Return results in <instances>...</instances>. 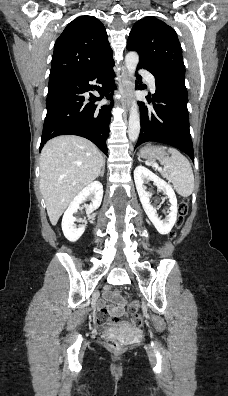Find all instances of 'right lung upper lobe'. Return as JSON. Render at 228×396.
Instances as JSON below:
<instances>
[{
    "label": "right lung upper lobe",
    "mask_w": 228,
    "mask_h": 396,
    "mask_svg": "<svg viewBox=\"0 0 228 396\" xmlns=\"http://www.w3.org/2000/svg\"><path fill=\"white\" fill-rule=\"evenodd\" d=\"M112 60L104 25L93 16H80L55 42L49 80L87 74Z\"/></svg>",
    "instance_id": "right-lung-upper-lobe-1"
}]
</instances>
